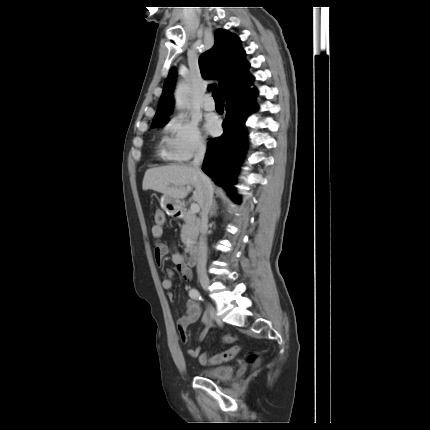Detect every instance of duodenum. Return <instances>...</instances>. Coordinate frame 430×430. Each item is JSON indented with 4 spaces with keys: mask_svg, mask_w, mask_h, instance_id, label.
<instances>
[{
    "mask_svg": "<svg viewBox=\"0 0 430 430\" xmlns=\"http://www.w3.org/2000/svg\"><path fill=\"white\" fill-rule=\"evenodd\" d=\"M181 212L179 211L177 213V215H180ZM185 260L186 263L189 266H194L196 264V260H197V250H196V246L193 243H190L187 245V247L185 248Z\"/></svg>",
    "mask_w": 430,
    "mask_h": 430,
    "instance_id": "410a0bca",
    "label": "duodenum"
}]
</instances>
